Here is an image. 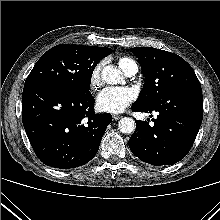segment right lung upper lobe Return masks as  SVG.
<instances>
[{
  "mask_svg": "<svg viewBox=\"0 0 220 220\" xmlns=\"http://www.w3.org/2000/svg\"><path fill=\"white\" fill-rule=\"evenodd\" d=\"M93 47L98 53H100L104 58L112 53V49L110 48H105V47H96V46H91Z\"/></svg>",
  "mask_w": 220,
  "mask_h": 220,
  "instance_id": "obj_1",
  "label": "right lung upper lobe"
}]
</instances>
